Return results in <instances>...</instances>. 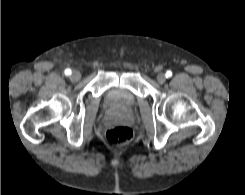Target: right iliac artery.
<instances>
[{"label": "right iliac artery", "instance_id": "right-iliac-artery-1", "mask_svg": "<svg viewBox=\"0 0 245 195\" xmlns=\"http://www.w3.org/2000/svg\"><path fill=\"white\" fill-rule=\"evenodd\" d=\"M71 74V70L70 69H66L65 70V75L69 76Z\"/></svg>", "mask_w": 245, "mask_h": 195}]
</instances>
